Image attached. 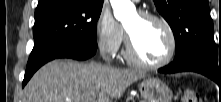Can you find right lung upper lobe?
Segmentation results:
<instances>
[{
  "label": "right lung upper lobe",
  "mask_w": 221,
  "mask_h": 102,
  "mask_svg": "<svg viewBox=\"0 0 221 102\" xmlns=\"http://www.w3.org/2000/svg\"><path fill=\"white\" fill-rule=\"evenodd\" d=\"M48 1H50V0H39L38 5H41V4L46 3ZM85 1L90 2V3H102L103 2V0H85Z\"/></svg>",
  "instance_id": "cb5924a9"
}]
</instances>
